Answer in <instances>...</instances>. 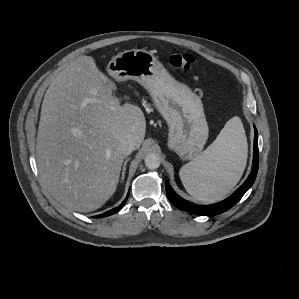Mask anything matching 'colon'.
<instances>
[{"mask_svg": "<svg viewBox=\"0 0 299 299\" xmlns=\"http://www.w3.org/2000/svg\"><path fill=\"white\" fill-rule=\"evenodd\" d=\"M196 62L193 55L188 53H175L169 58V63L175 68H181L184 70L191 69Z\"/></svg>", "mask_w": 299, "mask_h": 299, "instance_id": "1", "label": "colon"}]
</instances>
